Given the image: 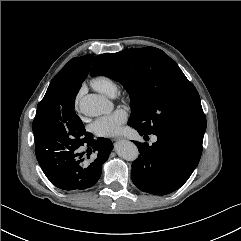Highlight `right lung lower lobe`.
<instances>
[{
    "mask_svg": "<svg viewBox=\"0 0 241 241\" xmlns=\"http://www.w3.org/2000/svg\"><path fill=\"white\" fill-rule=\"evenodd\" d=\"M35 154L39 165L49 181L56 187L71 191L92 187L101 176L102 164L113 148L109 139L94 140L90 134L79 147L57 150L54 146L41 144L35 137ZM94 153L91 160L83 163Z\"/></svg>",
    "mask_w": 241,
    "mask_h": 241,
    "instance_id": "98d812e1",
    "label": "right lung lower lobe"
}]
</instances>
